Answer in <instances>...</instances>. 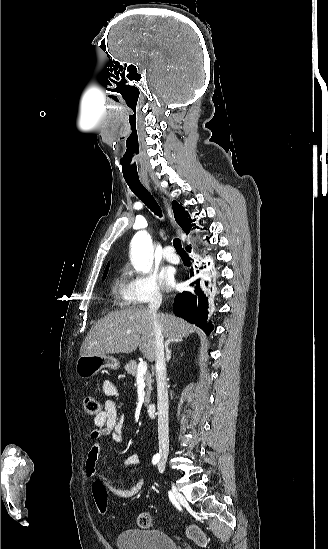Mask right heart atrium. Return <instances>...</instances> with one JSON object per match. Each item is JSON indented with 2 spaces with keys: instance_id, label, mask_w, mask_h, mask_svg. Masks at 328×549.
Here are the masks:
<instances>
[{
  "instance_id": "right-heart-atrium-1",
  "label": "right heart atrium",
  "mask_w": 328,
  "mask_h": 549,
  "mask_svg": "<svg viewBox=\"0 0 328 549\" xmlns=\"http://www.w3.org/2000/svg\"><path fill=\"white\" fill-rule=\"evenodd\" d=\"M126 283L131 296L137 303H160L163 293L159 278L154 271L136 273L132 269L126 271Z\"/></svg>"
}]
</instances>
